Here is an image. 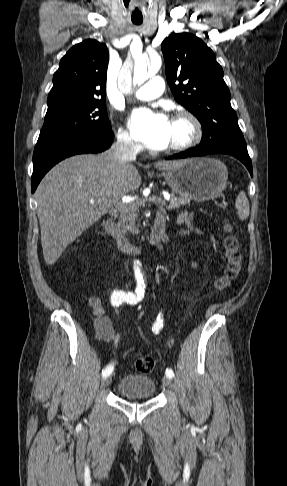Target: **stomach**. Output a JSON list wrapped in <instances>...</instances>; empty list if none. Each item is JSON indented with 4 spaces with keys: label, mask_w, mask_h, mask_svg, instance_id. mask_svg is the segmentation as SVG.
Instances as JSON below:
<instances>
[{
    "label": "stomach",
    "mask_w": 287,
    "mask_h": 486,
    "mask_svg": "<svg viewBox=\"0 0 287 486\" xmlns=\"http://www.w3.org/2000/svg\"><path fill=\"white\" fill-rule=\"evenodd\" d=\"M181 197L204 202L217 198L226 188L228 170L219 160L194 157L161 174Z\"/></svg>",
    "instance_id": "obj_1"
}]
</instances>
